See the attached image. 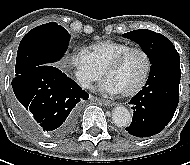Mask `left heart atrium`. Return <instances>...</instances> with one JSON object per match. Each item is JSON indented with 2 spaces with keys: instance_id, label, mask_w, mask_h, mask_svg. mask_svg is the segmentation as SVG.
I'll return each mask as SVG.
<instances>
[{
  "instance_id": "1",
  "label": "left heart atrium",
  "mask_w": 190,
  "mask_h": 165,
  "mask_svg": "<svg viewBox=\"0 0 190 165\" xmlns=\"http://www.w3.org/2000/svg\"><path fill=\"white\" fill-rule=\"evenodd\" d=\"M103 89L110 93H119V91L108 80L103 84Z\"/></svg>"
}]
</instances>
